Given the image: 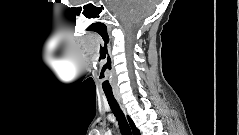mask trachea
<instances>
[{
  "label": "trachea",
  "instance_id": "1",
  "mask_svg": "<svg viewBox=\"0 0 239 135\" xmlns=\"http://www.w3.org/2000/svg\"><path fill=\"white\" fill-rule=\"evenodd\" d=\"M109 106L115 115L122 135H132L128 122L113 93H105Z\"/></svg>",
  "mask_w": 239,
  "mask_h": 135
}]
</instances>
